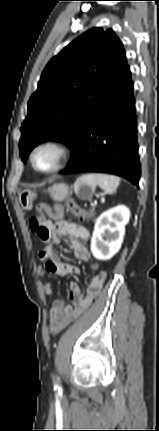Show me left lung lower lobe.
<instances>
[{"instance_id":"obj_1","label":"left lung lower lobe","mask_w":159,"mask_h":431,"mask_svg":"<svg viewBox=\"0 0 159 431\" xmlns=\"http://www.w3.org/2000/svg\"><path fill=\"white\" fill-rule=\"evenodd\" d=\"M61 174L101 172L139 186L137 124L130 71L119 87L84 126Z\"/></svg>"}]
</instances>
